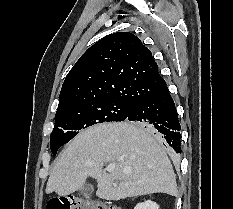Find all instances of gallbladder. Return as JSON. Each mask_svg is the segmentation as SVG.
I'll return each mask as SVG.
<instances>
[{
    "mask_svg": "<svg viewBox=\"0 0 233 209\" xmlns=\"http://www.w3.org/2000/svg\"><path fill=\"white\" fill-rule=\"evenodd\" d=\"M93 192V187L92 186H83L81 189H80V194L85 196V197H89Z\"/></svg>",
    "mask_w": 233,
    "mask_h": 209,
    "instance_id": "gallbladder-1",
    "label": "gallbladder"
}]
</instances>
